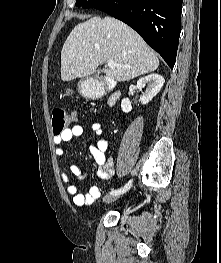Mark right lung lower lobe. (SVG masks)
<instances>
[{
    "mask_svg": "<svg viewBox=\"0 0 221 263\" xmlns=\"http://www.w3.org/2000/svg\"><path fill=\"white\" fill-rule=\"evenodd\" d=\"M183 0H103L95 8L132 27L170 68L176 61Z\"/></svg>",
    "mask_w": 221,
    "mask_h": 263,
    "instance_id": "obj_1",
    "label": "right lung lower lobe"
}]
</instances>
